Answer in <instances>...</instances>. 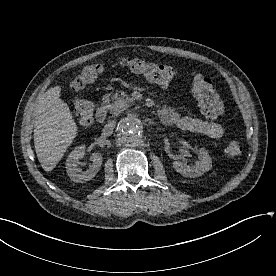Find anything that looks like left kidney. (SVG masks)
I'll return each instance as SVG.
<instances>
[{
	"mask_svg": "<svg viewBox=\"0 0 276 276\" xmlns=\"http://www.w3.org/2000/svg\"><path fill=\"white\" fill-rule=\"evenodd\" d=\"M199 161L194 166L186 165L181 161L173 162V168L185 177H197L209 171L212 167V160L208 152L204 148L198 150Z\"/></svg>",
	"mask_w": 276,
	"mask_h": 276,
	"instance_id": "5707ae66",
	"label": "left kidney"
}]
</instances>
